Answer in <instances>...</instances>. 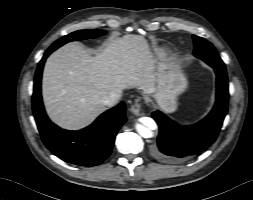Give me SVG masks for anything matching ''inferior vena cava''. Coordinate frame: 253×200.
I'll list each match as a JSON object with an SVG mask.
<instances>
[{"label": "inferior vena cava", "mask_w": 253, "mask_h": 200, "mask_svg": "<svg viewBox=\"0 0 253 200\" xmlns=\"http://www.w3.org/2000/svg\"><path fill=\"white\" fill-rule=\"evenodd\" d=\"M121 96H122L121 91L112 92L103 99V103L109 107L114 106L119 102Z\"/></svg>", "instance_id": "602c4592"}]
</instances>
